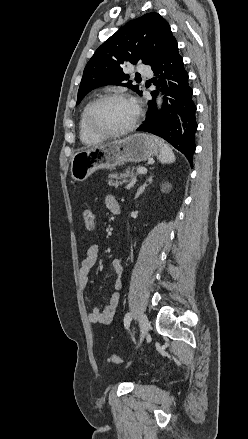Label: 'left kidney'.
<instances>
[{
  "label": "left kidney",
  "mask_w": 248,
  "mask_h": 439,
  "mask_svg": "<svg viewBox=\"0 0 248 439\" xmlns=\"http://www.w3.org/2000/svg\"><path fill=\"white\" fill-rule=\"evenodd\" d=\"M169 188H170V185H169V184H163V185L161 186V190H162L163 192L168 191Z\"/></svg>",
  "instance_id": "obj_1"
}]
</instances>
